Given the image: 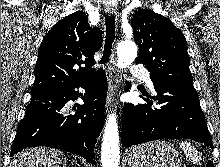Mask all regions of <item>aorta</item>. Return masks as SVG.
I'll return each mask as SVG.
<instances>
[{
    "instance_id": "aorta-1",
    "label": "aorta",
    "mask_w": 220,
    "mask_h": 167,
    "mask_svg": "<svg viewBox=\"0 0 220 167\" xmlns=\"http://www.w3.org/2000/svg\"><path fill=\"white\" fill-rule=\"evenodd\" d=\"M119 68H126L137 57V46L132 40H124L117 47ZM119 133L116 114L108 116L101 148L102 167H118L119 164Z\"/></svg>"
}]
</instances>
